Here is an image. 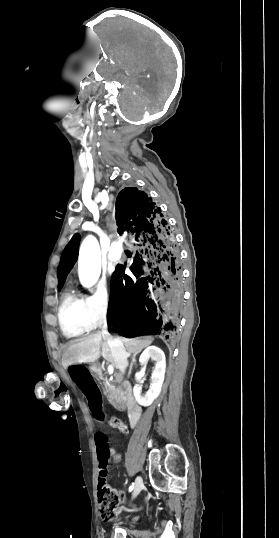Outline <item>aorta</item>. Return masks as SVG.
I'll list each match as a JSON object with an SVG mask.
<instances>
[{
    "label": "aorta",
    "mask_w": 279,
    "mask_h": 538,
    "mask_svg": "<svg viewBox=\"0 0 279 538\" xmlns=\"http://www.w3.org/2000/svg\"><path fill=\"white\" fill-rule=\"evenodd\" d=\"M101 272L100 246L97 239L88 236L82 242L78 257L80 283L90 289L99 279Z\"/></svg>",
    "instance_id": "762f6f07"
}]
</instances>
